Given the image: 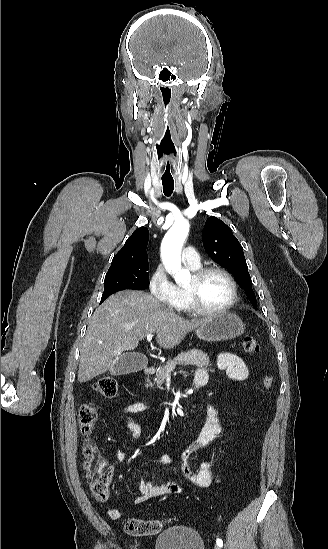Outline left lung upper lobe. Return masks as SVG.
Instances as JSON below:
<instances>
[{"label": "left lung upper lobe", "mask_w": 328, "mask_h": 549, "mask_svg": "<svg viewBox=\"0 0 328 549\" xmlns=\"http://www.w3.org/2000/svg\"><path fill=\"white\" fill-rule=\"evenodd\" d=\"M203 245L206 252L222 267L229 270L245 289L253 305L257 300L252 290L243 248L232 230L220 219L210 216L203 231Z\"/></svg>", "instance_id": "obj_1"}]
</instances>
